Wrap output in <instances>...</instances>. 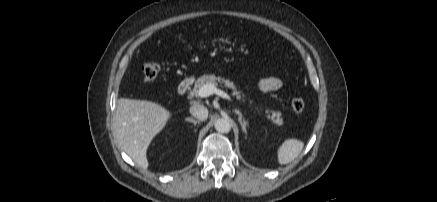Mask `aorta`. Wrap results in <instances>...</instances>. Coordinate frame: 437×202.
I'll return each mask as SVG.
<instances>
[{"label": "aorta", "instance_id": "aorta-1", "mask_svg": "<svg viewBox=\"0 0 437 202\" xmlns=\"http://www.w3.org/2000/svg\"><path fill=\"white\" fill-rule=\"evenodd\" d=\"M215 129L219 133H228L231 130V124L228 119L220 118L215 121Z\"/></svg>", "mask_w": 437, "mask_h": 202}]
</instances>
